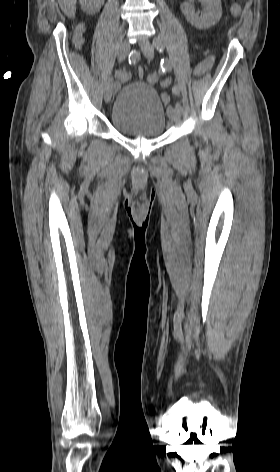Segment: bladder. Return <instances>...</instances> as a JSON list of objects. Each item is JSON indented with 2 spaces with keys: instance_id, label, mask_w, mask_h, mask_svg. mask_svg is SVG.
<instances>
[{
  "instance_id": "1",
  "label": "bladder",
  "mask_w": 280,
  "mask_h": 472,
  "mask_svg": "<svg viewBox=\"0 0 280 472\" xmlns=\"http://www.w3.org/2000/svg\"><path fill=\"white\" fill-rule=\"evenodd\" d=\"M110 123L124 135L158 137L166 130L167 114L155 88L135 81L123 86L116 94Z\"/></svg>"
}]
</instances>
